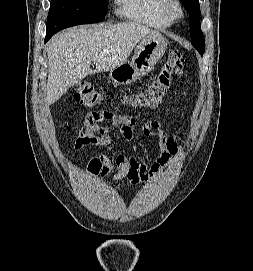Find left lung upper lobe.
I'll list each match as a JSON object with an SVG mask.
<instances>
[{"instance_id": "1", "label": "left lung upper lobe", "mask_w": 253, "mask_h": 271, "mask_svg": "<svg viewBox=\"0 0 253 271\" xmlns=\"http://www.w3.org/2000/svg\"><path fill=\"white\" fill-rule=\"evenodd\" d=\"M185 9L189 13V24L191 25V43L197 51L203 55L205 42L200 24V5L198 0H181Z\"/></svg>"}]
</instances>
